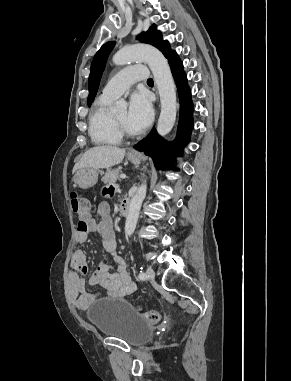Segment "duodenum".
<instances>
[{
    "mask_svg": "<svg viewBox=\"0 0 291 381\" xmlns=\"http://www.w3.org/2000/svg\"><path fill=\"white\" fill-rule=\"evenodd\" d=\"M120 212L123 216H126L129 213V204L126 201L121 204Z\"/></svg>",
    "mask_w": 291,
    "mask_h": 381,
    "instance_id": "1",
    "label": "duodenum"
}]
</instances>
